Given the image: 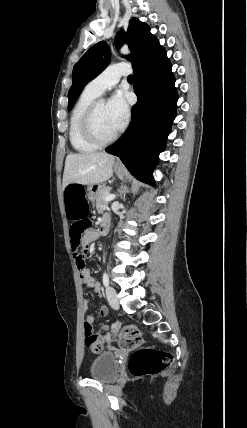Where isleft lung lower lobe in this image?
Here are the masks:
<instances>
[{
	"label": "left lung lower lobe",
	"instance_id": "left-lung-lower-lobe-1",
	"mask_svg": "<svg viewBox=\"0 0 247 428\" xmlns=\"http://www.w3.org/2000/svg\"><path fill=\"white\" fill-rule=\"evenodd\" d=\"M171 68L164 49L134 68L138 101L131 110V123L121 139L106 149L119 156L138 180L153 186L152 173L176 117L178 95Z\"/></svg>",
	"mask_w": 247,
	"mask_h": 428
}]
</instances>
